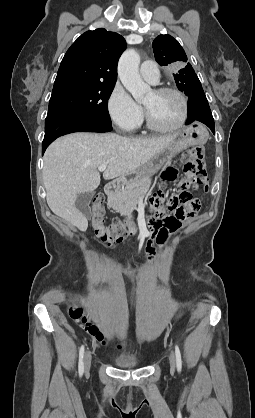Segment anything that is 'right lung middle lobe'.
I'll return each instance as SVG.
<instances>
[{
    "instance_id": "1",
    "label": "right lung middle lobe",
    "mask_w": 255,
    "mask_h": 418,
    "mask_svg": "<svg viewBox=\"0 0 255 418\" xmlns=\"http://www.w3.org/2000/svg\"><path fill=\"white\" fill-rule=\"evenodd\" d=\"M115 84L69 81L53 87L48 112L70 111L111 125L107 103Z\"/></svg>"
}]
</instances>
